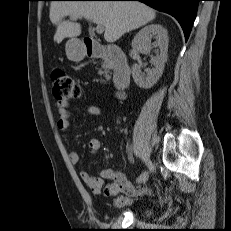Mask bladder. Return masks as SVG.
<instances>
[{
	"mask_svg": "<svg viewBox=\"0 0 231 231\" xmlns=\"http://www.w3.org/2000/svg\"><path fill=\"white\" fill-rule=\"evenodd\" d=\"M151 212H152V209L149 207H146V208H143L140 213L145 215V214H149Z\"/></svg>",
	"mask_w": 231,
	"mask_h": 231,
	"instance_id": "obj_1",
	"label": "bladder"
}]
</instances>
